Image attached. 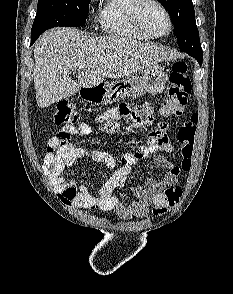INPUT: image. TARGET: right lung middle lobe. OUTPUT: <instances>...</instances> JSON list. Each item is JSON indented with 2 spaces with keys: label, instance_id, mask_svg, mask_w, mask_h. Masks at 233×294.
I'll return each mask as SVG.
<instances>
[{
  "label": "right lung middle lobe",
  "instance_id": "1",
  "mask_svg": "<svg viewBox=\"0 0 233 294\" xmlns=\"http://www.w3.org/2000/svg\"><path fill=\"white\" fill-rule=\"evenodd\" d=\"M91 0H38L31 38L56 26H84Z\"/></svg>",
  "mask_w": 233,
  "mask_h": 294
}]
</instances>
